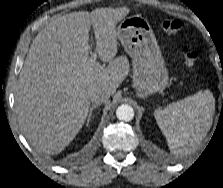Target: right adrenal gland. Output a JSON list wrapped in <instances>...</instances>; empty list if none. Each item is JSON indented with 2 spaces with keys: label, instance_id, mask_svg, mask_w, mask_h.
<instances>
[{
  "label": "right adrenal gland",
  "instance_id": "2a0ac1e0",
  "mask_svg": "<svg viewBox=\"0 0 223 188\" xmlns=\"http://www.w3.org/2000/svg\"><path fill=\"white\" fill-rule=\"evenodd\" d=\"M99 104H93L91 107H90V111H89V114H88V117H87V123H86V126L89 125V122L91 120V117H92V113H93V110L98 107Z\"/></svg>",
  "mask_w": 223,
  "mask_h": 188
}]
</instances>
